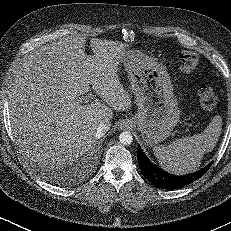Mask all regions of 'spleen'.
<instances>
[{"instance_id": "obj_1", "label": "spleen", "mask_w": 231, "mask_h": 231, "mask_svg": "<svg viewBox=\"0 0 231 231\" xmlns=\"http://www.w3.org/2000/svg\"><path fill=\"white\" fill-rule=\"evenodd\" d=\"M222 130V119L213 117L209 125L200 134L177 139L168 146H155L154 155L159 165L167 172L185 175L200 167L205 152L213 150Z\"/></svg>"}]
</instances>
